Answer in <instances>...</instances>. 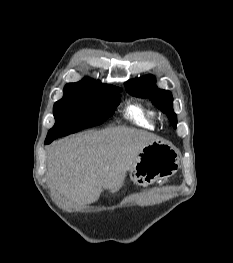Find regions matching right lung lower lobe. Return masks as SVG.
Instances as JSON below:
<instances>
[{"label": "right lung lower lobe", "mask_w": 233, "mask_h": 263, "mask_svg": "<svg viewBox=\"0 0 233 263\" xmlns=\"http://www.w3.org/2000/svg\"><path fill=\"white\" fill-rule=\"evenodd\" d=\"M52 141H45V144H49V143H51Z\"/></svg>", "instance_id": "right-lung-lower-lobe-1"}]
</instances>
